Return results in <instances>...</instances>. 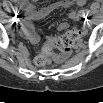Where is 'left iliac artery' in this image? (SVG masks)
<instances>
[{
	"instance_id": "left-iliac-artery-1",
	"label": "left iliac artery",
	"mask_w": 103,
	"mask_h": 103,
	"mask_svg": "<svg viewBox=\"0 0 103 103\" xmlns=\"http://www.w3.org/2000/svg\"><path fill=\"white\" fill-rule=\"evenodd\" d=\"M87 17L88 19H93V14L91 11H87Z\"/></svg>"
}]
</instances>
